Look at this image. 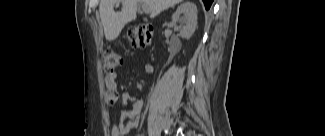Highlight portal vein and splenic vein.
Masks as SVG:
<instances>
[{
    "label": "portal vein and splenic vein",
    "mask_w": 325,
    "mask_h": 136,
    "mask_svg": "<svg viewBox=\"0 0 325 136\" xmlns=\"http://www.w3.org/2000/svg\"><path fill=\"white\" fill-rule=\"evenodd\" d=\"M142 10H143V12H145V13H149V8H148L147 5H145V4H143V6H142Z\"/></svg>",
    "instance_id": "18ae733b"
}]
</instances>
